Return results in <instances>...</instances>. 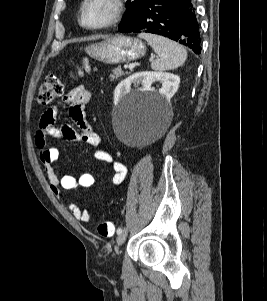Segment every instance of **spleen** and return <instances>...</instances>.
Listing matches in <instances>:
<instances>
[{"label":"spleen","instance_id":"spleen-1","mask_svg":"<svg viewBox=\"0 0 267 301\" xmlns=\"http://www.w3.org/2000/svg\"><path fill=\"white\" fill-rule=\"evenodd\" d=\"M139 37L145 39L159 55V59L151 63V68L155 71L175 69L183 65L187 59V51L168 38L148 33H140Z\"/></svg>","mask_w":267,"mask_h":301}]
</instances>
